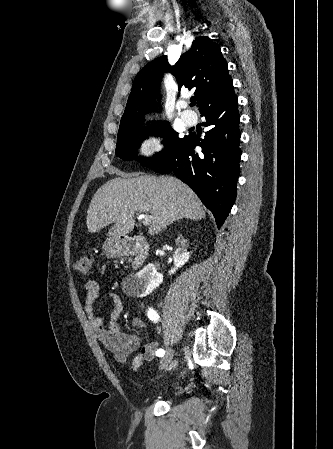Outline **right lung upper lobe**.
<instances>
[{"instance_id":"1","label":"right lung upper lobe","mask_w":333,"mask_h":449,"mask_svg":"<svg viewBox=\"0 0 333 449\" xmlns=\"http://www.w3.org/2000/svg\"><path fill=\"white\" fill-rule=\"evenodd\" d=\"M170 71L177 79L179 91L194 90L197 106L201 110L207 103L225 92L233 90L227 63L220 46L207 36L197 37L191 49L170 66L167 56H161L136 75L120 126L142 129L143 115L150 108L152 98L158 93L162 73ZM123 137L118 133V139Z\"/></svg>"}]
</instances>
